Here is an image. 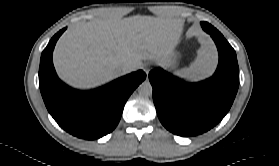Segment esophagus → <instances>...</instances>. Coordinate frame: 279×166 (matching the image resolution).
<instances>
[{
    "label": "esophagus",
    "mask_w": 279,
    "mask_h": 166,
    "mask_svg": "<svg viewBox=\"0 0 279 166\" xmlns=\"http://www.w3.org/2000/svg\"><path fill=\"white\" fill-rule=\"evenodd\" d=\"M143 70L145 71V73L147 74V77H148V74L151 70V66L149 64H145L143 67Z\"/></svg>",
    "instance_id": "esophagus-1"
}]
</instances>
